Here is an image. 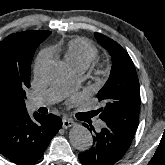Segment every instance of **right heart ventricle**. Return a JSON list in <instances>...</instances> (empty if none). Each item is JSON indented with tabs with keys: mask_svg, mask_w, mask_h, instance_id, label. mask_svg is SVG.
<instances>
[{
	"mask_svg": "<svg viewBox=\"0 0 165 165\" xmlns=\"http://www.w3.org/2000/svg\"><path fill=\"white\" fill-rule=\"evenodd\" d=\"M65 61L74 69H87L98 57V49L88 40L77 37L59 47Z\"/></svg>",
	"mask_w": 165,
	"mask_h": 165,
	"instance_id": "obj_1",
	"label": "right heart ventricle"
}]
</instances>
